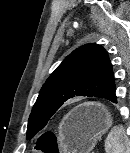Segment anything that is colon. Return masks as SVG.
<instances>
[{
	"instance_id": "obj_1",
	"label": "colon",
	"mask_w": 130,
	"mask_h": 153,
	"mask_svg": "<svg viewBox=\"0 0 130 153\" xmlns=\"http://www.w3.org/2000/svg\"><path fill=\"white\" fill-rule=\"evenodd\" d=\"M37 153H57L56 138L53 133H46L40 136L35 145Z\"/></svg>"
}]
</instances>
